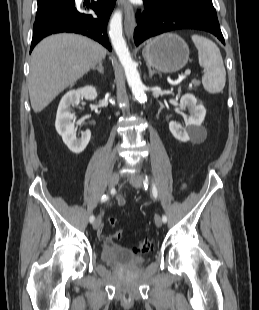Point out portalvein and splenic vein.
Returning <instances> with one entry per match:
<instances>
[{"instance_id": "1", "label": "portal vein and splenic vein", "mask_w": 259, "mask_h": 310, "mask_svg": "<svg viewBox=\"0 0 259 310\" xmlns=\"http://www.w3.org/2000/svg\"><path fill=\"white\" fill-rule=\"evenodd\" d=\"M191 74V70L190 69H187L184 73V77H187Z\"/></svg>"}]
</instances>
